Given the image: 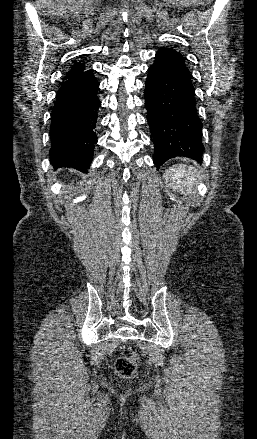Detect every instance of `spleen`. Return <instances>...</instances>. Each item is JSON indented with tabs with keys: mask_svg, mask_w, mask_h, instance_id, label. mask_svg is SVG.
<instances>
[{
	"mask_svg": "<svg viewBox=\"0 0 257 439\" xmlns=\"http://www.w3.org/2000/svg\"><path fill=\"white\" fill-rule=\"evenodd\" d=\"M165 183L173 191L181 194L195 191L200 181V173L191 165L179 164L167 169L164 173Z\"/></svg>",
	"mask_w": 257,
	"mask_h": 439,
	"instance_id": "3e777b00",
	"label": "spleen"
}]
</instances>
